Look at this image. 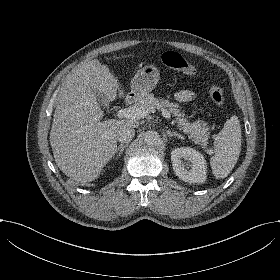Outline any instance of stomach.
Wrapping results in <instances>:
<instances>
[{"instance_id": "obj_1", "label": "stomach", "mask_w": 280, "mask_h": 280, "mask_svg": "<svg viewBox=\"0 0 280 280\" xmlns=\"http://www.w3.org/2000/svg\"><path fill=\"white\" fill-rule=\"evenodd\" d=\"M159 81V72L154 66H147L139 70L131 81L129 97L134 99L135 93L147 95Z\"/></svg>"}]
</instances>
